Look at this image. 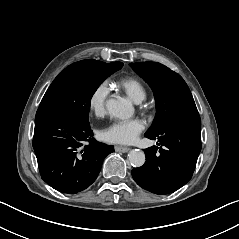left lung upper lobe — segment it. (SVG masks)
Listing matches in <instances>:
<instances>
[{
	"instance_id": "left-lung-upper-lobe-1",
	"label": "left lung upper lobe",
	"mask_w": 239,
	"mask_h": 239,
	"mask_svg": "<svg viewBox=\"0 0 239 239\" xmlns=\"http://www.w3.org/2000/svg\"><path fill=\"white\" fill-rule=\"evenodd\" d=\"M152 88L157 113L146 134H156L170 120L180 115L198 113L194 99L183 78L163 64L156 62L131 63Z\"/></svg>"
}]
</instances>
